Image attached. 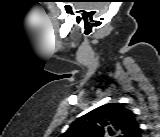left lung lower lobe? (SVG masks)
I'll return each instance as SVG.
<instances>
[{"label": "left lung lower lobe", "instance_id": "1", "mask_svg": "<svg viewBox=\"0 0 160 137\" xmlns=\"http://www.w3.org/2000/svg\"><path fill=\"white\" fill-rule=\"evenodd\" d=\"M141 130L140 128L137 130V132L134 134V137H140Z\"/></svg>", "mask_w": 160, "mask_h": 137}]
</instances>
